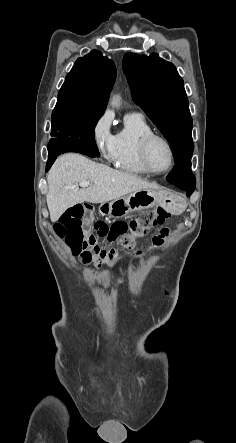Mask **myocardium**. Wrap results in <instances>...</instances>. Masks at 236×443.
I'll return each instance as SVG.
<instances>
[{
  "label": "myocardium",
  "instance_id": "obj_1",
  "mask_svg": "<svg viewBox=\"0 0 236 443\" xmlns=\"http://www.w3.org/2000/svg\"><path fill=\"white\" fill-rule=\"evenodd\" d=\"M155 140H160V141L164 142L170 152L169 166L165 170H162V171H158V170L154 169L150 163V160H149V148H150V145L152 144V142ZM139 156H140V160H141V163L144 166V168L149 173L155 174V175H163V174L168 173L173 168L174 163H175V151H174L172 143L165 136H163L161 134L154 133V132L146 134L141 139L140 144H139Z\"/></svg>",
  "mask_w": 236,
  "mask_h": 443
}]
</instances>
